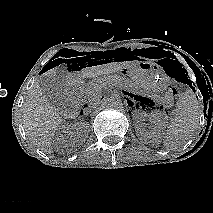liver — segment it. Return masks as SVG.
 I'll use <instances>...</instances> for the list:
<instances>
[{"instance_id":"obj_1","label":"liver","mask_w":213,"mask_h":213,"mask_svg":"<svg viewBox=\"0 0 213 213\" xmlns=\"http://www.w3.org/2000/svg\"><path fill=\"white\" fill-rule=\"evenodd\" d=\"M137 63L128 61L86 67L80 71V74L83 79L99 78ZM43 76L56 78L58 70L53 68L45 72ZM97 87L100 86L97 85ZM69 117L74 116L67 112H59L43 95L40 83L36 82L30 89L22 108L23 127L31 143L44 153H52V138L63 119Z\"/></svg>"}]
</instances>
